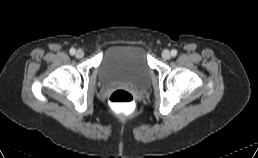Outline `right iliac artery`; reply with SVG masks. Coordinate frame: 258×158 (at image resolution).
<instances>
[{"instance_id": "1", "label": "right iliac artery", "mask_w": 258, "mask_h": 158, "mask_svg": "<svg viewBox=\"0 0 258 158\" xmlns=\"http://www.w3.org/2000/svg\"><path fill=\"white\" fill-rule=\"evenodd\" d=\"M69 52H70L71 55H74L76 50L74 48H71Z\"/></svg>"}]
</instances>
